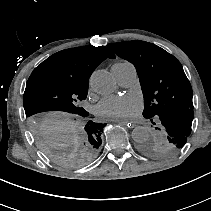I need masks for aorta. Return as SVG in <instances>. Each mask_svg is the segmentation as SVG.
Listing matches in <instances>:
<instances>
[{
  "label": "aorta",
  "instance_id": "aorta-1",
  "mask_svg": "<svg viewBox=\"0 0 211 211\" xmlns=\"http://www.w3.org/2000/svg\"><path fill=\"white\" fill-rule=\"evenodd\" d=\"M90 85L96 93L102 95L113 92L116 87L114 78L106 70L94 71L90 78ZM131 135L133 140L137 143H140L149 138V132L143 126L135 127Z\"/></svg>",
  "mask_w": 211,
  "mask_h": 211
}]
</instances>
